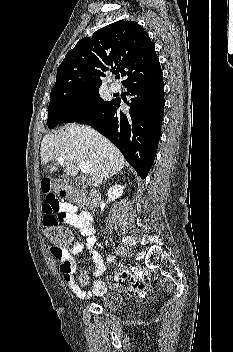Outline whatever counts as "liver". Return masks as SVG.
Listing matches in <instances>:
<instances>
[{"instance_id": "6515ba94", "label": "liver", "mask_w": 233, "mask_h": 352, "mask_svg": "<svg viewBox=\"0 0 233 352\" xmlns=\"http://www.w3.org/2000/svg\"><path fill=\"white\" fill-rule=\"evenodd\" d=\"M58 157H64L60 163L66 176L79 173V162L91 164L89 186L97 187L103 180L120 172L126 161L121 152L100 133L85 125L70 124L57 134L44 136L41 142V163L46 165ZM57 170L50 167V172Z\"/></svg>"}]
</instances>
